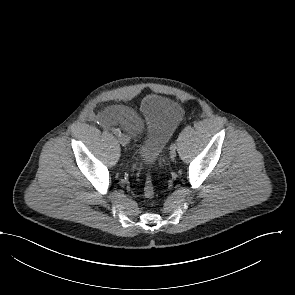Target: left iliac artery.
<instances>
[{"label": "left iliac artery", "instance_id": "44dca946", "mask_svg": "<svg viewBox=\"0 0 295 295\" xmlns=\"http://www.w3.org/2000/svg\"><path fill=\"white\" fill-rule=\"evenodd\" d=\"M170 149H176V144L172 143V144L170 145Z\"/></svg>", "mask_w": 295, "mask_h": 295}]
</instances>
